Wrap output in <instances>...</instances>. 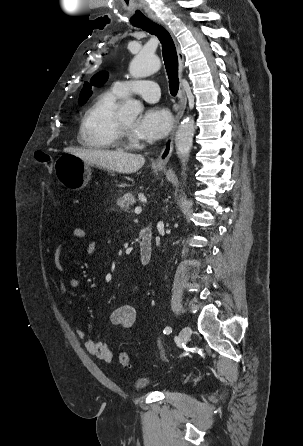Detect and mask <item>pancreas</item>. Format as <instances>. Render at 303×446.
<instances>
[{
    "label": "pancreas",
    "instance_id": "cf45deb5",
    "mask_svg": "<svg viewBox=\"0 0 303 446\" xmlns=\"http://www.w3.org/2000/svg\"><path fill=\"white\" fill-rule=\"evenodd\" d=\"M135 204V195L126 193L117 199V205L123 211H129L130 207Z\"/></svg>",
    "mask_w": 303,
    "mask_h": 446
}]
</instances>
